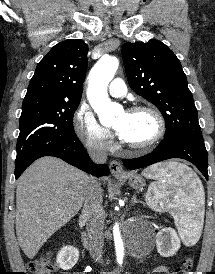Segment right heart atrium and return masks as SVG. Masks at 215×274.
<instances>
[{
	"instance_id": "1",
	"label": "right heart atrium",
	"mask_w": 215,
	"mask_h": 274,
	"mask_svg": "<svg viewBox=\"0 0 215 274\" xmlns=\"http://www.w3.org/2000/svg\"><path fill=\"white\" fill-rule=\"evenodd\" d=\"M74 131L84 145L95 152H107L112 148L110 131L103 127L93 113L81 106L74 114Z\"/></svg>"
}]
</instances>
